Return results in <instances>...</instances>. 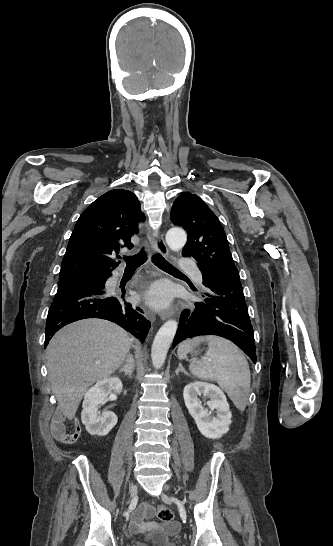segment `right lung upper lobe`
Listing matches in <instances>:
<instances>
[{
  "instance_id": "1",
  "label": "right lung upper lobe",
  "mask_w": 333,
  "mask_h": 546,
  "mask_svg": "<svg viewBox=\"0 0 333 546\" xmlns=\"http://www.w3.org/2000/svg\"><path fill=\"white\" fill-rule=\"evenodd\" d=\"M144 220L135 194L111 190L95 200L80 215L69 239L59 280L111 275L120 264L111 256L120 248H132L131 236Z\"/></svg>"
}]
</instances>
